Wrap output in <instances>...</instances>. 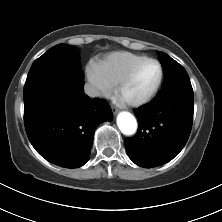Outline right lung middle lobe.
Masks as SVG:
<instances>
[{
    "instance_id": "1",
    "label": "right lung middle lobe",
    "mask_w": 222,
    "mask_h": 222,
    "mask_svg": "<svg viewBox=\"0 0 222 222\" xmlns=\"http://www.w3.org/2000/svg\"><path fill=\"white\" fill-rule=\"evenodd\" d=\"M77 50L58 44L32 64L24 88V103L37 98L73 100L84 75L79 65Z\"/></svg>"
}]
</instances>
